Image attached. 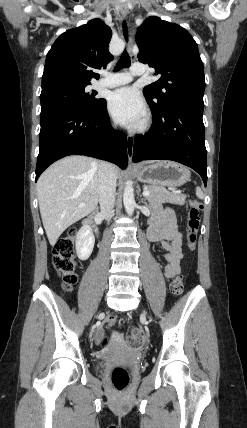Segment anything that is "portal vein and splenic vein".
<instances>
[{
	"mask_svg": "<svg viewBox=\"0 0 247 428\" xmlns=\"http://www.w3.org/2000/svg\"><path fill=\"white\" fill-rule=\"evenodd\" d=\"M149 194H150V191H149V190H146V189H145V190L143 191V195H144V196H148ZM80 206H81V207H83V206H85V204H84V203H82V204H80Z\"/></svg>",
	"mask_w": 247,
	"mask_h": 428,
	"instance_id": "obj_1",
	"label": "portal vein and splenic vein"
}]
</instances>
